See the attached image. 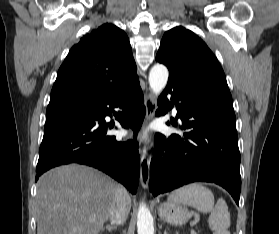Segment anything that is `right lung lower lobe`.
<instances>
[{
    "mask_svg": "<svg viewBox=\"0 0 279 234\" xmlns=\"http://www.w3.org/2000/svg\"><path fill=\"white\" fill-rule=\"evenodd\" d=\"M143 102L140 83L136 79L106 100L73 113L46 118L36 181L53 167L80 163L107 173L135 194L140 173L137 142H122L115 136H107L110 126L105 117L114 114L120 124L133 129L136 136L146 113ZM115 107L122 110L116 113Z\"/></svg>",
    "mask_w": 279,
    "mask_h": 234,
    "instance_id": "1",
    "label": "right lung lower lobe"
}]
</instances>
